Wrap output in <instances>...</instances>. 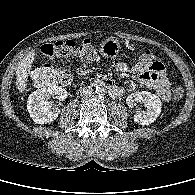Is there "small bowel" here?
Segmentation results:
<instances>
[{"label":"small bowel","mask_w":195,"mask_h":195,"mask_svg":"<svg viewBox=\"0 0 195 195\" xmlns=\"http://www.w3.org/2000/svg\"><path fill=\"white\" fill-rule=\"evenodd\" d=\"M115 70L121 74L132 73L137 75L139 82L153 89L163 101H169L171 99V81L165 71L161 74H156L147 71L141 63H136L134 66L130 67L123 62H118L115 65ZM124 91L125 88L123 86L117 85L111 94L114 97H120Z\"/></svg>","instance_id":"1"}]
</instances>
